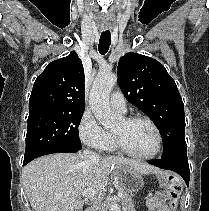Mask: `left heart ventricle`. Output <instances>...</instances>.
<instances>
[{"label": "left heart ventricle", "instance_id": "obj_1", "mask_svg": "<svg viewBox=\"0 0 209 211\" xmlns=\"http://www.w3.org/2000/svg\"><path fill=\"white\" fill-rule=\"evenodd\" d=\"M114 133L121 137L126 148L134 154L147 155L155 149V133L145 122L127 123L122 120L115 128Z\"/></svg>", "mask_w": 209, "mask_h": 211}]
</instances>
